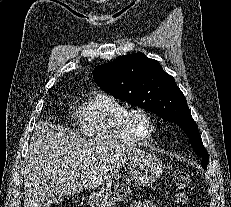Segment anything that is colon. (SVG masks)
Returning a JSON list of instances; mask_svg holds the SVG:
<instances>
[{
	"instance_id": "5ec220e1",
	"label": "colon",
	"mask_w": 231,
	"mask_h": 207,
	"mask_svg": "<svg viewBox=\"0 0 231 207\" xmlns=\"http://www.w3.org/2000/svg\"><path fill=\"white\" fill-rule=\"evenodd\" d=\"M172 180L176 187L178 202L181 203L184 200L185 192L190 188L191 176L183 170H177L173 172ZM46 207H76V204L71 198H63L50 202Z\"/></svg>"
}]
</instances>
